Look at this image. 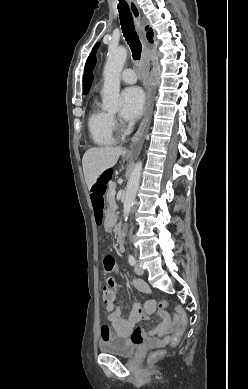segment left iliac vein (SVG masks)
<instances>
[{
	"mask_svg": "<svg viewBox=\"0 0 248 389\" xmlns=\"http://www.w3.org/2000/svg\"><path fill=\"white\" fill-rule=\"evenodd\" d=\"M134 271L137 275H142L144 273V270L141 266V264L137 263L134 267Z\"/></svg>",
	"mask_w": 248,
	"mask_h": 389,
	"instance_id": "1",
	"label": "left iliac vein"
}]
</instances>
